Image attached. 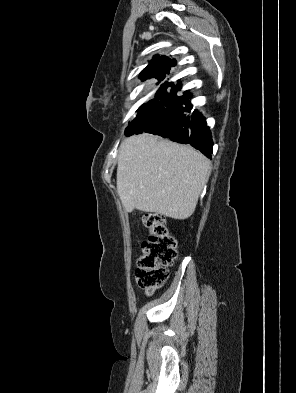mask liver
Here are the masks:
<instances>
[{
  "mask_svg": "<svg viewBox=\"0 0 296 393\" xmlns=\"http://www.w3.org/2000/svg\"><path fill=\"white\" fill-rule=\"evenodd\" d=\"M210 172V161L192 147L144 133L120 145L117 192L128 212L184 220L193 214Z\"/></svg>",
  "mask_w": 296,
  "mask_h": 393,
  "instance_id": "liver-1",
  "label": "liver"
}]
</instances>
